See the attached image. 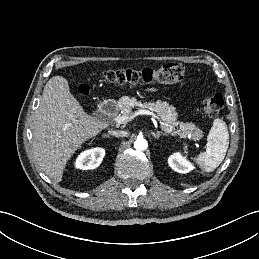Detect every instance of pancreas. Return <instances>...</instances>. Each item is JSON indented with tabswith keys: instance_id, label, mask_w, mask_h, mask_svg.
<instances>
[{
	"instance_id": "1",
	"label": "pancreas",
	"mask_w": 259,
	"mask_h": 259,
	"mask_svg": "<svg viewBox=\"0 0 259 259\" xmlns=\"http://www.w3.org/2000/svg\"><path fill=\"white\" fill-rule=\"evenodd\" d=\"M117 107L123 111L122 116H130L133 108L149 109L160 116L164 121L165 126L163 129L171 134L178 135L180 138L191 137L194 141L199 140L203 137V132L193 123L178 122L177 113L175 108L169 105L166 101H151L144 102L137 101L135 97L123 96L118 102ZM176 127V128H175Z\"/></svg>"
}]
</instances>
